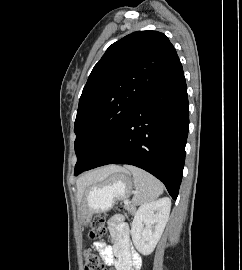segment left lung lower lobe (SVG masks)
Wrapping results in <instances>:
<instances>
[{"label":"left lung lower lobe","mask_w":242,"mask_h":270,"mask_svg":"<svg viewBox=\"0 0 242 270\" xmlns=\"http://www.w3.org/2000/svg\"><path fill=\"white\" fill-rule=\"evenodd\" d=\"M188 125L187 86L177 58L87 170L106 164L134 165L161 180L176 199L182 180Z\"/></svg>","instance_id":"left-lung-lower-lobe-1"}]
</instances>
